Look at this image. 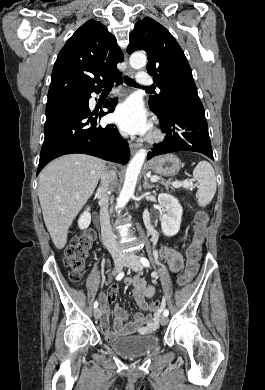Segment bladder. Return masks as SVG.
Here are the masks:
<instances>
[{
	"mask_svg": "<svg viewBox=\"0 0 265 390\" xmlns=\"http://www.w3.org/2000/svg\"><path fill=\"white\" fill-rule=\"evenodd\" d=\"M108 343L122 357L135 359L155 349L159 345V339L155 335L115 336Z\"/></svg>",
	"mask_w": 265,
	"mask_h": 390,
	"instance_id": "1",
	"label": "bladder"
}]
</instances>
